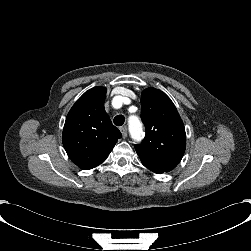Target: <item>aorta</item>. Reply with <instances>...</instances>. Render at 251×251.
Instances as JSON below:
<instances>
[{"instance_id":"1","label":"aorta","mask_w":251,"mask_h":251,"mask_svg":"<svg viewBox=\"0 0 251 251\" xmlns=\"http://www.w3.org/2000/svg\"><path fill=\"white\" fill-rule=\"evenodd\" d=\"M130 130H131L132 135L134 137H136V138L140 137L141 126H140V123L137 119H135V118L130 119Z\"/></svg>"}]
</instances>
